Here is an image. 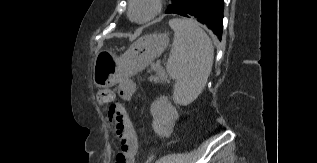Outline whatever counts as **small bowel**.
Listing matches in <instances>:
<instances>
[{"label":"small bowel","instance_id":"c3829d8e","mask_svg":"<svg viewBox=\"0 0 317 163\" xmlns=\"http://www.w3.org/2000/svg\"><path fill=\"white\" fill-rule=\"evenodd\" d=\"M120 96L129 100L132 98L136 86L130 79L122 78L117 83ZM119 138V151L115 157V163H134L137 154V139L134 129L129 121H126L125 129L122 133H117Z\"/></svg>","mask_w":317,"mask_h":163}]
</instances>
